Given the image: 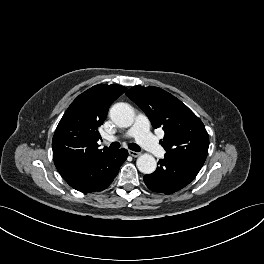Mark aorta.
I'll return each instance as SVG.
<instances>
[{"instance_id": "762f6f07", "label": "aorta", "mask_w": 264, "mask_h": 264, "mask_svg": "<svg viewBox=\"0 0 264 264\" xmlns=\"http://www.w3.org/2000/svg\"><path fill=\"white\" fill-rule=\"evenodd\" d=\"M111 120L118 126L127 128L134 122L133 108L126 103H116L109 112ZM137 168L144 174H151L156 170L157 163L155 158L149 154H142L136 162Z\"/></svg>"}]
</instances>
